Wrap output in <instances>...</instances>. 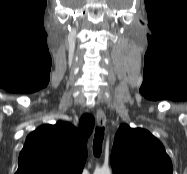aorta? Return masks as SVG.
I'll return each mask as SVG.
<instances>
[{"instance_id": "762f6f07", "label": "aorta", "mask_w": 187, "mask_h": 174, "mask_svg": "<svg viewBox=\"0 0 187 174\" xmlns=\"http://www.w3.org/2000/svg\"><path fill=\"white\" fill-rule=\"evenodd\" d=\"M94 174H111V171L108 167H102L94 172Z\"/></svg>"}]
</instances>
